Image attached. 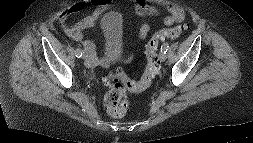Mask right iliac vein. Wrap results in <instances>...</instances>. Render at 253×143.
Segmentation results:
<instances>
[{"mask_svg":"<svg viewBox=\"0 0 253 143\" xmlns=\"http://www.w3.org/2000/svg\"><path fill=\"white\" fill-rule=\"evenodd\" d=\"M91 58H92V53L90 52V50L85 48L83 50V59L85 60V62H89Z\"/></svg>","mask_w":253,"mask_h":143,"instance_id":"63e3f726","label":"right iliac vein"}]
</instances>
